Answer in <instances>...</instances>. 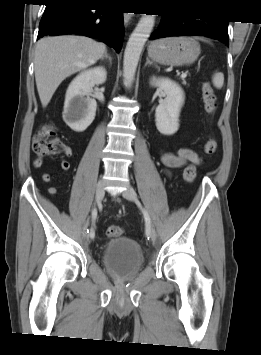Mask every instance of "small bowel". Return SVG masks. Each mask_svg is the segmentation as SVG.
<instances>
[{
    "mask_svg": "<svg viewBox=\"0 0 261 355\" xmlns=\"http://www.w3.org/2000/svg\"><path fill=\"white\" fill-rule=\"evenodd\" d=\"M67 156L70 155V152L66 153ZM161 162L166 172H169L174 168H181L188 162L199 164L200 158L196 151L191 148H179L175 151H166L161 153ZM42 164V159L38 158L34 160L33 166L34 168H39ZM60 167L63 171H68L70 169V163L65 160H60ZM44 182H50L53 179L51 174H44L42 176ZM50 193H55L56 188H49Z\"/></svg>",
    "mask_w": 261,
    "mask_h": 355,
    "instance_id": "c3829d8e",
    "label": "small bowel"
}]
</instances>
